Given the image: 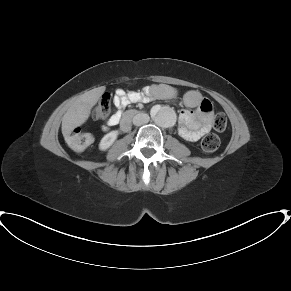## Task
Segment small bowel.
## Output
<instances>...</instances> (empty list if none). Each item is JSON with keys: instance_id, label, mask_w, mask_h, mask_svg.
<instances>
[{"instance_id": "obj_1", "label": "small bowel", "mask_w": 291, "mask_h": 291, "mask_svg": "<svg viewBox=\"0 0 291 291\" xmlns=\"http://www.w3.org/2000/svg\"><path fill=\"white\" fill-rule=\"evenodd\" d=\"M177 90L167 84L153 85L145 92L117 90L114 97L115 112L107 122V127L119 123L123 109L130 103L153 99L173 100ZM184 104L194 111L182 110L179 114V134L188 141H197L207 134L212 126L213 116L209 113L210 102L198 91L190 90L184 95Z\"/></svg>"}]
</instances>
